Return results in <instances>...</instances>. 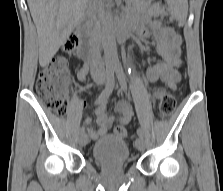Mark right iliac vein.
Masks as SVG:
<instances>
[{"label":"right iliac vein","instance_id":"obj_1","mask_svg":"<svg viewBox=\"0 0 223 191\" xmlns=\"http://www.w3.org/2000/svg\"><path fill=\"white\" fill-rule=\"evenodd\" d=\"M103 84V80H98L97 81V85L101 86ZM88 136L86 133L84 132H80V136H79V143L81 146H85L88 143Z\"/></svg>","mask_w":223,"mask_h":191}]
</instances>
